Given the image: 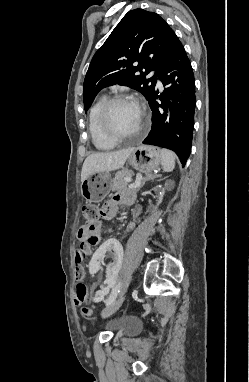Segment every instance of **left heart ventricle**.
I'll use <instances>...</instances> for the list:
<instances>
[{"label": "left heart ventricle", "instance_id": "1", "mask_svg": "<svg viewBox=\"0 0 249 382\" xmlns=\"http://www.w3.org/2000/svg\"><path fill=\"white\" fill-rule=\"evenodd\" d=\"M140 120V110L133 102H121L114 105L109 115L112 129L120 135L135 133Z\"/></svg>", "mask_w": 249, "mask_h": 382}]
</instances>
